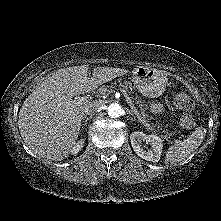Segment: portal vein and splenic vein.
I'll use <instances>...</instances> for the list:
<instances>
[{"label": "portal vein and splenic vein", "instance_id": "obj_1", "mask_svg": "<svg viewBox=\"0 0 221 221\" xmlns=\"http://www.w3.org/2000/svg\"><path fill=\"white\" fill-rule=\"evenodd\" d=\"M118 90H120V91L124 94V96H125V98L127 99L128 103H129V105H130V107L133 109V111L135 112V114H136L137 117H138V112L135 110V107H134L133 103L131 102L130 97L127 95V93L124 91V89H118ZM88 100H89L88 97H77V98H75L74 100L70 101L69 103L83 104V103H87ZM138 119H139V121H141L145 126H147L148 128H150L148 123H146L145 121H143V120L140 119L139 117H138Z\"/></svg>", "mask_w": 221, "mask_h": 221}]
</instances>
